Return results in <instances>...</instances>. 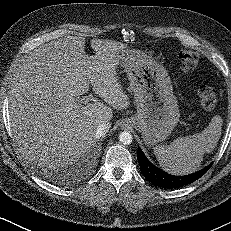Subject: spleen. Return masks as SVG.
Segmentation results:
<instances>
[{
  "mask_svg": "<svg viewBox=\"0 0 231 231\" xmlns=\"http://www.w3.org/2000/svg\"><path fill=\"white\" fill-rule=\"evenodd\" d=\"M222 125V118L216 115L201 133L177 138L168 146L154 147V155L161 168L173 175L196 172L201 166L204 154L216 147L221 136Z\"/></svg>",
  "mask_w": 231,
  "mask_h": 231,
  "instance_id": "spleen-1",
  "label": "spleen"
}]
</instances>
